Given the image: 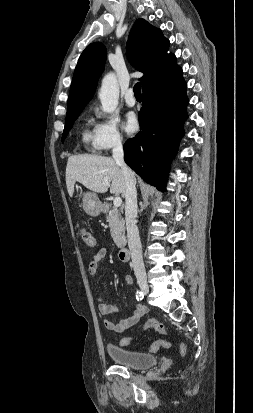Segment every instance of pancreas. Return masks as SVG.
Returning a JSON list of instances; mask_svg holds the SVG:
<instances>
[{"label":"pancreas","instance_id":"cf45deb5","mask_svg":"<svg viewBox=\"0 0 253 413\" xmlns=\"http://www.w3.org/2000/svg\"><path fill=\"white\" fill-rule=\"evenodd\" d=\"M109 223L111 236L117 247H122L126 243L124 220L117 208L113 207L106 216Z\"/></svg>","mask_w":253,"mask_h":413}]
</instances>
